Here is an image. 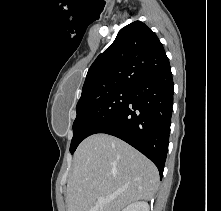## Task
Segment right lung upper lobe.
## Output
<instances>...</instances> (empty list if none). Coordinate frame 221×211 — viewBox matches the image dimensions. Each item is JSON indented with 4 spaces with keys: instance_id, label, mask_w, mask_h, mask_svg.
<instances>
[{
    "instance_id": "obj_1",
    "label": "right lung upper lobe",
    "mask_w": 221,
    "mask_h": 211,
    "mask_svg": "<svg viewBox=\"0 0 221 211\" xmlns=\"http://www.w3.org/2000/svg\"><path fill=\"white\" fill-rule=\"evenodd\" d=\"M170 68L162 43L143 22L123 27L88 70L80 100L131 88L141 79Z\"/></svg>"
}]
</instances>
